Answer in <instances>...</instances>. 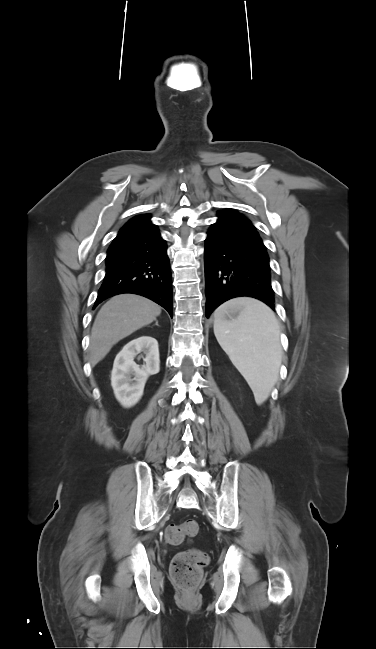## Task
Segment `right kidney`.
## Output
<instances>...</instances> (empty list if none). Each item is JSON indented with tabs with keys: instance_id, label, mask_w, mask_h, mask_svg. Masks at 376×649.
I'll return each mask as SVG.
<instances>
[{
	"instance_id": "1",
	"label": "right kidney",
	"mask_w": 376,
	"mask_h": 649,
	"mask_svg": "<svg viewBox=\"0 0 376 649\" xmlns=\"http://www.w3.org/2000/svg\"><path fill=\"white\" fill-rule=\"evenodd\" d=\"M141 352L145 355V363L140 368L134 359ZM159 370L157 340L143 335L130 341L117 354L113 364L111 385L116 399L126 408L135 405L143 395L148 377Z\"/></svg>"
}]
</instances>
